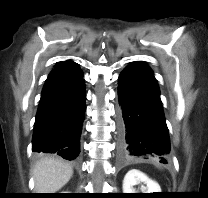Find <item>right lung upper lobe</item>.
<instances>
[{
  "instance_id": "right-lung-upper-lobe-1",
  "label": "right lung upper lobe",
  "mask_w": 208,
  "mask_h": 198,
  "mask_svg": "<svg viewBox=\"0 0 208 198\" xmlns=\"http://www.w3.org/2000/svg\"><path fill=\"white\" fill-rule=\"evenodd\" d=\"M65 62H68V61L61 62L60 64L65 63ZM60 64H58V65H60ZM58 65H57V66H58Z\"/></svg>"
}]
</instances>
